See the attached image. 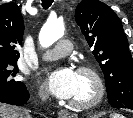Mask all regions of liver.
I'll use <instances>...</instances> for the list:
<instances>
[{"mask_svg": "<svg viewBox=\"0 0 133 118\" xmlns=\"http://www.w3.org/2000/svg\"><path fill=\"white\" fill-rule=\"evenodd\" d=\"M0 118H31L25 108L0 103Z\"/></svg>", "mask_w": 133, "mask_h": 118, "instance_id": "6515ba94", "label": "liver"}]
</instances>
